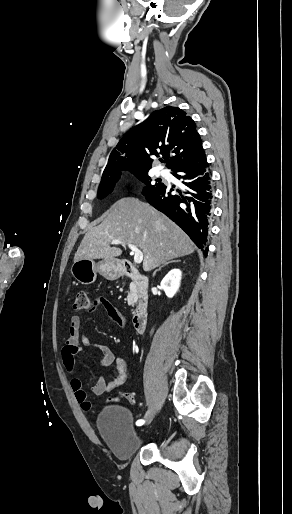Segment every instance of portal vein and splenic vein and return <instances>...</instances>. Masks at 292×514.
<instances>
[{
	"label": "portal vein and splenic vein",
	"mask_w": 292,
	"mask_h": 514,
	"mask_svg": "<svg viewBox=\"0 0 292 514\" xmlns=\"http://www.w3.org/2000/svg\"><path fill=\"white\" fill-rule=\"evenodd\" d=\"M111 244H124V242H120V240H112ZM128 248L132 250L131 254H134V262H136V264H141L143 260L141 250H138V248H136V246H132V244H128Z\"/></svg>",
	"instance_id": "18ae733b"
}]
</instances>
